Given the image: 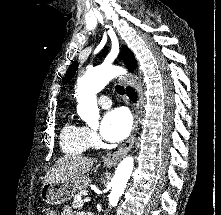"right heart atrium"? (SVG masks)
<instances>
[{"instance_id":"d8ad5b80","label":"right heart atrium","mask_w":221,"mask_h":215,"mask_svg":"<svg viewBox=\"0 0 221 215\" xmlns=\"http://www.w3.org/2000/svg\"><path fill=\"white\" fill-rule=\"evenodd\" d=\"M85 130H86V138H87L88 146L89 147L96 146L97 143H98V136H97V134L93 130H91L89 128L85 127Z\"/></svg>"}]
</instances>
